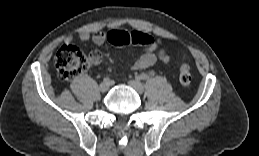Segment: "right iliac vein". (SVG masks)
Wrapping results in <instances>:
<instances>
[{"instance_id": "obj_1", "label": "right iliac vein", "mask_w": 259, "mask_h": 156, "mask_svg": "<svg viewBox=\"0 0 259 156\" xmlns=\"http://www.w3.org/2000/svg\"><path fill=\"white\" fill-rule=\"evenodd\" d=\"M110 87V82H106V81H103L100 85H99V90L101 92H106Z\"/></svg>"}]
</instances>
